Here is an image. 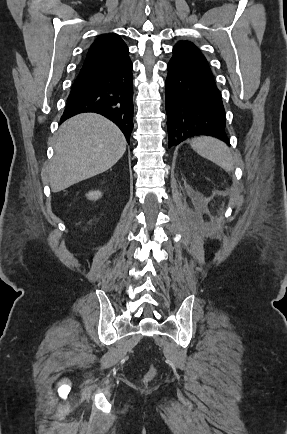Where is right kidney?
<instances>
[{
    "label": "right kidney",
    "instance_id": "1",
    "mask_svg": "<svg viewBox=\"0 0 287 434\" xmlns=\"http://www.w3.org/2000/svg\"><path fill=\"white\" fill-rule=\"evenodd\" d=\"M86 196L90 200H97V199H99L101 197V192H99V191H90Z\"/></svg>",
    "mask_w": 287,
    "mask_h": 434
}]
</instances>
